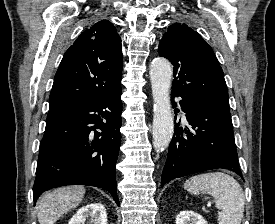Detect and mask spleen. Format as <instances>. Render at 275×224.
I'll list each match as a JSON object with an SVG mask.
<instances>
[{
	"label": "spleen",
	"mask_w": 275,
	"mask_h": 224,
	"mask_svg": "<svg viewBox=\"0 0 275 224\" xmlns=\"http://www.w3.org/2000/svg\"><path fill=\"white\" fill-rule=\"evenodd\" d=\"M184 189L191 194H210L221 211L218 224H240L244 213V194L240 184L223 172L203 173L190 177Z\"/></svg>",
	"instance_id": "3e777b00"
}]
</instances>
